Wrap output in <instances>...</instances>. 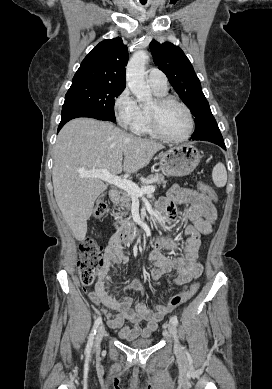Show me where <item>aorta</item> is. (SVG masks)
<instances>
[{"label": "aorta", "mask_w": 272, "mask_h": 389, "mask_svg": "<svg viewBox=\"0 0 272 389\" xmlns=\"http://www.w3.org/2000/svg\"><path fill=\"white\" fill-rule=\"evenodd\" d=\"M148 58L144 50H138L133 54L126 67L127 85L138 102L144 105L153 102L150 88L145 82V65Z\"/></svg>", "instance_id": "1"}]
</instances>
